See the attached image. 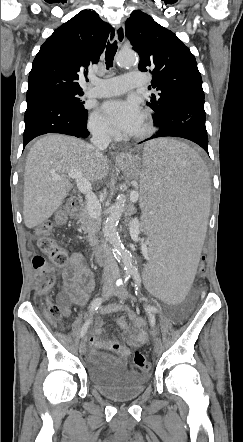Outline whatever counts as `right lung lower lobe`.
Masks as SVG:
<instances>
[{
  "label": "right lung lower lobe",
  "mask_w": 243,
  "mask_h": 442,
  "mask_svg": "<svg viewBox=\"0 0 243 442\" xmlns=\"http://www.w3.org/2000/svg\"><path fill=\"white\" fill-rule=\"evenodd\" d=\"M23 145L46 133H61L85 138L87 117L76 111L64 96L52 91L27 94Z\"/></svg>",
  "instance_id": "obj_1"
}]
</instances>
